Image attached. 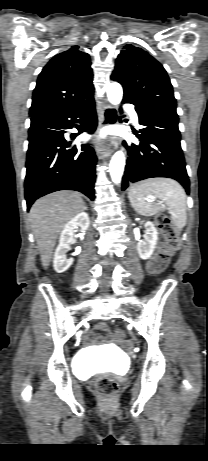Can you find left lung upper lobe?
<instances>
[{
    "label": "left lung upper lobe",
    "instance_id": "5c2ea615",
    "mask_svg": "<svg viewBox=\"0 0 208 461\" xmlns=\"http://www.w3.org/2000/svg\"><path fill=\"white\" fill-rule=\"evenodd\" d=\"M111 79L124 89V98L139 108L176 111V99L166 70L146 51L126 45L118 55Z\"/></svg>",
    "mask_w": 208,
    "mask_h": 461
}]
</instances>
